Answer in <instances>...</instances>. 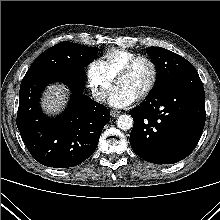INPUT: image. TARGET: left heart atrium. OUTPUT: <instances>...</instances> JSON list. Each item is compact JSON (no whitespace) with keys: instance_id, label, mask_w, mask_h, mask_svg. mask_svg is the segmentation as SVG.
I'll return each mask as SVG.
<instances>
[{"instance_id":"left-heart-atrium-1","label":"left heart atrium","mask_w":220,"mask_h":220,"mask_svg":"<svg viewBox=\"0 0 220 220\" xmlns=\"http://www.w3.org/2000/svg\"><path fill=\"white\" fill-rule=\"evenodd\" d=\"M137 97L123 86H117L109 94V103L113 107L123 108L131 105Z\"/></svg>"}]
</instances>
